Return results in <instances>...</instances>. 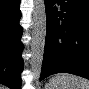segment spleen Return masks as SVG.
Wrapping results in <instances>:
<instances>
[{
	"instance_id": "obj_1",
	"label": "spleen",
	"mask_w": 89,
	"mask_h": 89,
	"mask_svg": "<svg viewBox=\"0 0 89 89\" xmlns=\"http://www.w3.org/2000/svg\"><path fill=\"white\" fill-rule=\"evenodd\" d=\"M49 89H89V81L79 76L60 73L49 80Z\"/></svg>"
}]
</instances>
